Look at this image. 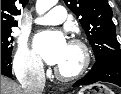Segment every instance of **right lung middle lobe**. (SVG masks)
Segmentation results:
<instances>
[{"mask_svg":"<svg viewBox=\"0 0 121 94\" xmlns=\"http://www.w3.org/2000/svg\"><path fill=\"white\" fill-rule=\"evenodd\" d=\"M12 30H1V56L11 57L13 37Z\"/></svg>","mask_w":121,"mask_h":94,"instance_id":"obj_1","label":"right lung middle lobe"}]
</instances>
